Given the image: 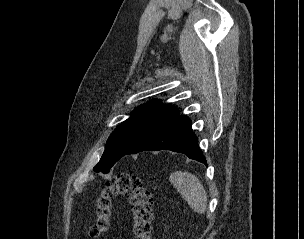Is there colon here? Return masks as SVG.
<instances>
[{
  "mask_svg": "<svg viewBox=\"0 0 304 239\" xmlns=\"http://www.w3.org/2000/svg\"><path fill=\"white\" fill-rule=\"evenodd\" d=\"M123 196L131 208L132 231L136 239H151L154 202L140 177L120 173L108 180L95 201V223L88 228L91 237H99L111 227L112 202Z\"/></svg>",
  "mask_w": 304,
  "mask_h": 239,
  "instance_id": "obj_1",
  "label": "colon"
}]
</instances>
